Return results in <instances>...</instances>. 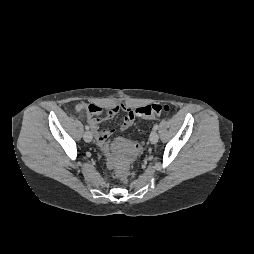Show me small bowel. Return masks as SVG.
I'll use <instances>...</instances> for the list:
<instances>
[{
    "mask_svg": "<svg viewBox=\"0 0 254 254\" xmlns=\"http://www.w3.org/2000/svg\"><path fill=\"white\" fill-rule=\"evenodd\" d=\"M94 112L88 116V122L91 126L92 131L95 133L96 140L98 145L103 149L107 150L109 147V139L114 133L111 129H100L101 122L106 118H112L119 112H124L125 116L123 119V122L121 124L120 129L122 131L127 130L130 128L134 121H135V113L134 110L130 107H127L123 103H118L112 107H108L106 109H103L99 106H95ZM83 109V104L79 103L76 106V111L81 112ZM104 113L105 117H101V115ZM130 155L134 157L136 155V152H130Z\"/></svg>",
    "mask_w": 254,
    "mask_h": 254,
    "instance_id": "small-bowel-1",
    "label": "small bowel"
}]
</instances>
